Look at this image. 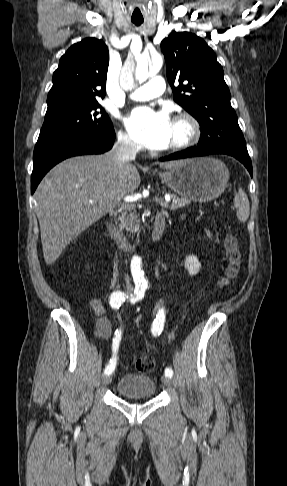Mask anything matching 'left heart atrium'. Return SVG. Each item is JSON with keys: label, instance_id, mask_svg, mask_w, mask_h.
Masks as SVG:
<instances>
[{"label": "left heart atrium", "instance_id": "obj_1", "mask_svg": "<svg viewBox=\"0 0 287 486\" xmlns=\"http://www.w3.org/2000/svg\"><path fill=\"white\" fill-rule=\"evenodd\" d=\"M125 125L132 138L149 149H164L170 144L172 121L165 112L136 107L125 118Z\"/></svg>", "mask_w": 287, "mask_h": 486}]
</instances>
